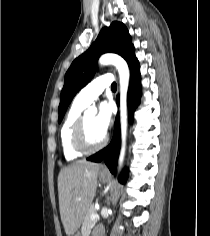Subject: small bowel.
<instances>
[{"label":"small bowel","instance_id":"c3829d8e","mask_svg":"<svg viewBox=\"0 0 210 236\" xmlns=\"http://www.w3.org/2000/svg\"><path fill=\"white\" fill-rule=\"evenodd\" d=\"M96 236H101V235H100V230H97Z\"/></svg>","mask_w":210,"mask_h":236}]
</instances>
